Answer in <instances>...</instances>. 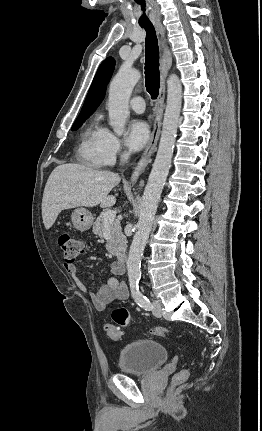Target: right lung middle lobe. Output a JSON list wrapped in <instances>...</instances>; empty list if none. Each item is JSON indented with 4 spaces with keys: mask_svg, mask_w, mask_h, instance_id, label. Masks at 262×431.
Returning <instances> with one entry per match:
<instances>
[{
    "mask_svg": "<svg viewBox=\"0 0 262 431\" xmlns=\"http://www.w3.org/2000/svg\"><path fill=\"white\" fill-rule=\"evenodd\" d=\"M88 117H78L72 126L71 130H77L85 122Z\"/></svg>",
    "mask_w": 262,
    "mask_h": 431,
    "instance_id": "dd1d6c3e",
    "label": "right lung middle lobe"
}]
</instances>
